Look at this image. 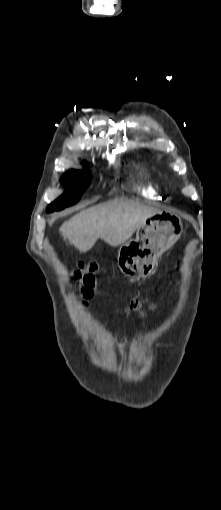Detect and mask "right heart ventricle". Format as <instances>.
<instances>
[{
    "instance_id": "e07e8e85",
    "label": "right heart ventricle",
    "mask_w": 221,
    "mask_h": 510,
    "mask_svg": "<svg viewBox=\"0 0 221 510\" xmlns=\"http://www.w3.org/2000/svg\"><path fill=\"white\" fill-rule=\"evenodd\" d=\"M136 190L141 196L149 199H157L160 194L159 184L150 176H146Z\"/></svg>"
}]
</instances>
